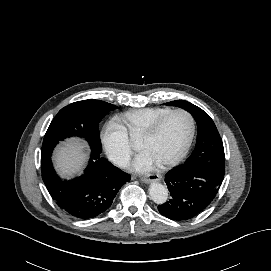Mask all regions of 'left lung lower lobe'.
I'll return each mask as SVG.
<instances>
[{"label":"left lung lower lobe","mask_w":271,"mask_h":271,"mask_svg":"<svg viewBox=\"0 0 271 271\" xmlns=\"http://www.w3.org/2000/svg\"><path fill=\"white\" fill-rule=\"evenodd\" d=\"M224 175L180 165L165 175L171 198L158 205L165 217L184 221L194 218L215 199Z\"/></svg>","instance_id":"0a47b994"}]
</instances>
